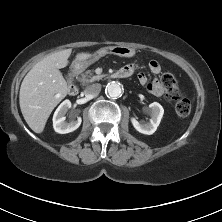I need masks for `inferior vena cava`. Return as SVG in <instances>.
I'll return each instance as SVG.
<instances>
[{"label": "inferior vena cava", "instance_id": "602c4592", "mask_svg": "<svg viewBox=\"0 0 222 222\" xmlns=\"http://www.w3.org/2000/svg\"><path fill=\"white\" fill-rule=\"evenodd\" d=\"M100 91H101V84L95 83V84L88 86L84 90V93H85V96L90 97V98H94V97L98 96Z\"/></svg>", "mask_w": 222, "mask_h": 222}]
</instances>
